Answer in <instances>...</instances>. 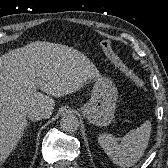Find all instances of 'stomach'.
<instances>
[{
    "instance_id": "1",
    "label": "stomach",
    "mask_w": 168,
    "mask_h": 168,
    "mask_svg": "<svg viewBox=\"0 0 168 168\" xmlns=\"http://www.w3.org/2000/svg\"><path fill=\"white\" fill-rule=\"evenodd\" d=\"M117 88L108 78L98 77L91 93V99L84 104L81 112L89 123L107 126L114 118L117 101Z\"/></svg>"
}]
</instances>
